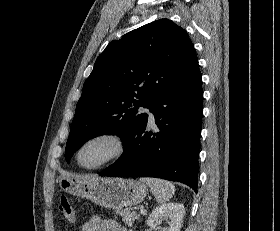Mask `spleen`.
<instances>
[{
    "label": "spleen",
    "mask_w": 280,
    "mask_h": 231,
    "mask_svg": "<svg viewBox=\"0 0 280 231\" xmlns=\"http://www.w3.org/2000/svg\"><path fill=\"white\" fill-rule=\"evenodd\" d=\"M140 181L149 185L153 195L158 203H166L175 193V185L166 179H157V177H141Z\"/></svg>",
    "instance_id": "1"
}]
</instances>
